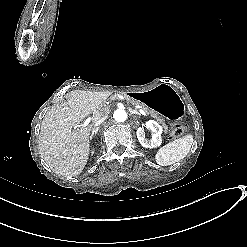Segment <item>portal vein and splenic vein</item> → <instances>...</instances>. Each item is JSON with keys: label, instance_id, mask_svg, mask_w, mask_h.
<instances>
[{"label": "portal vein and splenic vein", "instance_id": "1", "mask_svg": "<svg viewBox=\"0 0 247 247\" xmlns=\"http://www.w3.org/2000/svg\"><path fill=\"white\" fill-rule=\"evenodd\" d=\"M137 113L145 114V110H143V109H137ZM89 122H90V119L84 120V123L79 127L78 131L79 132H82L83 129L89 124Z\"/></svg>", "mask_w": 247, "mask_h": 247}]
</instances>
